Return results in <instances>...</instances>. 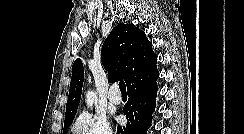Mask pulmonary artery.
I'll use <instances>...</instances> for the list:
<instances>
[{
	"instance_id": "e3ab8cb5",
	"label": "pulmonary artery",
	"mask_w": 244,
	"mask_h": 134,
	"mask_svg": "<svg viewBox=\"0 0 244 134\" xmlns=\"http://www.w3.org/2000/svg\"><path fill=\"white\" fill-rule=\"evenodd\" d=\"M108 99L113 104L121 103V95L119 94L118 87L116 85L112 86L108 93Z\"/></svg>"
}]
</instances>
